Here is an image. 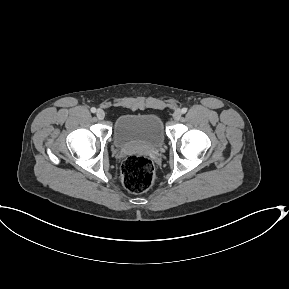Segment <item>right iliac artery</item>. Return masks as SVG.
Returning <instances> with one entry per match:
<instances>
[{
    "label": "right iliac artery",
    "mask_w": 289,
    "mask_h": 289,
    "mask_svg": "<svg viewBox=\"0 0 289 289\" xmlns=\"http://www.w3.org/2000/svg\"><path fill=\"white\" fill-rule=\"evenodd\" d=\"M91 112H92V113H95V112H96V108H95V107H92V108H91Z\"/></svg>",
    "instance_id": "82829eb1"
}]
</instances>
